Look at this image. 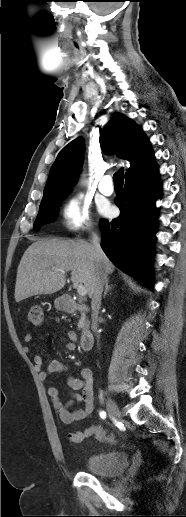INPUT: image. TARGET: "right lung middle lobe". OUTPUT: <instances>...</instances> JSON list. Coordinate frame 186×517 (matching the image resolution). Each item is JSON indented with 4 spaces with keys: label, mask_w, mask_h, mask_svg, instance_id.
Returning <instances> with one entry per match:
<instances>
[{
    "label": "right lung middle lobe",
    "mask_w": 186,
    "mask_h": 517,
    "mask_svg": "<svg viewBox=\"0 0 186 517\" xmlns=\"http://www.w3.org/2000/svg\"><path fill=\"white\" fill-rule=\"evenodd\" d=\"M66 193L58 194L49 198L42 199L39 213L34 223V229L38 230L40 225L49 223L57 213L58 205Z\"/></svg>",
    "instance_id": "1"
}]
</instances>
